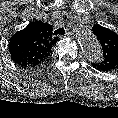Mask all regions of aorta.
Returning <instances> with one entry per match:
<instances>
[{"instance_id": "aorta-1", "label": "aorta", "mask_w": 118, "mask_h": 118, "mask_svg": "<svg viewBox=\"0 0 118 118\" xmlns=\"http://www.w3.org/2000/svg\"><path fill=\"white\" fill-rule=\"evenodd\" d=\"M78 42L85 56L94 62H99L103 59L102 49L92 31L85 25H77L76 30Z\"/></svg>"}]
</instances>
